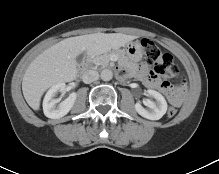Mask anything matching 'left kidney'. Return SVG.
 <instances>
[{"mask_svg": "<svg viewBox=\"0 0 219 174\" xmlns=\"http://www.w3.org/2000/svg\"><path fill=\"white\" fill-rule=\"evenodd\" d=\"M147 95L155 99V101L150 99L143 100V104L149 109H145L140 103H136L135 110L144 118L159 120L167 111V102L165 98L155 90H147Z\"/></svg>", "mask_w": 219, "mask_h": 174, "instance_id": "5707ae66", "label": "left kidney"}]
</instances>
